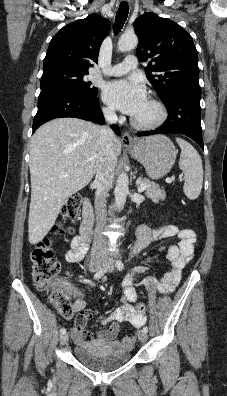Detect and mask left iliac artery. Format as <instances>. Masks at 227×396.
I'll list each match as a JSON object with an SVG mask.
<instances>
[{"label":"left iliac artery","instance_id":"left-iliac-artery-1","mask_svg":"<svg viewBox=\"0 0 227 396\" xmlns=\"http://www.w3.org/2000/svg\"><path fill=\"white\" fill-rule=\"evenodd\" d=\"M116 267H117L119 270H122V269L124 268V264H123V262H122L121 259H118V260L116 261ZM143 331L147 333V332H148V327L145 326V327L143 328Z\"/></svg>","mask_w":227,"mask_h":396}]
</instances>
